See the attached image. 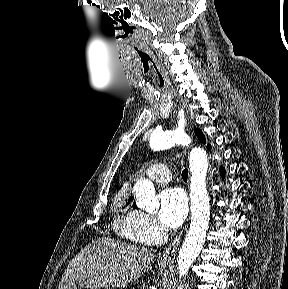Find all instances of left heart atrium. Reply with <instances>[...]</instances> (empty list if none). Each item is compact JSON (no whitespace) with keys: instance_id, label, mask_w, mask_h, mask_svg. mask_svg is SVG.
I'll return each mask as SVG.
<instances>
[{"instance_id":"39dd6f15","label":"left heart atrium","mask_w":288,"mask_h":289,"mask_svg":"<svg viewBox=\"0 0 288 289\" xmlns=\"http://www.w3.org/2000/svg\"><path fill=\"white\" fill-rule=\"evenodd\" d=\"M187 212V199L179 188H166L159 194L158 217L161 223L170 228L178 227Z\"/></svg>"}]
</instances>
